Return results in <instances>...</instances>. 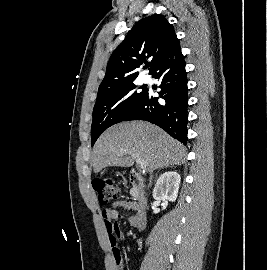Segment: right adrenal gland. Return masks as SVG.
Here are the masks:
<instances>
[{
	"mask_svg": "<svg viewBox=\"0 0 267 270\" xmlns=\"http://www.w3.org/2000/svg\"><path fill=\"white\" fill-rule=\"evenodd\" d=\"M173 166H174V165H168V166L162 167L161 169H163V168H168V167H171V168H172ZM161 169H159V171H160ZM159 171H158V172H159Z\"/></svg>",
	"mask_w": 267,
	"mask_h": 270,
	"instance_id": "1",
	"label": "right adrenal gland"
}]
</instances>
